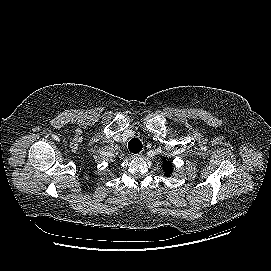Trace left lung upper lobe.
Wrapping results in <instances>:
<instances>
[{
    "instance_id": "left-lung-upper-lobe-1",
    "label": "left lung upper lobe",
    "mask_w": 271,
    "mask_h": 271,
    "mask_svg": "<svg viewBox=\"0 0 271 271\" xmlns=\"http://www.w3.org/2000/svg\"><path fill=\"white\" fill-rule=\"evenodd\" d=\"M172 164L168 160H163L164 175L169 176L172 171Z\"/></svg>"
}]
</instances>
